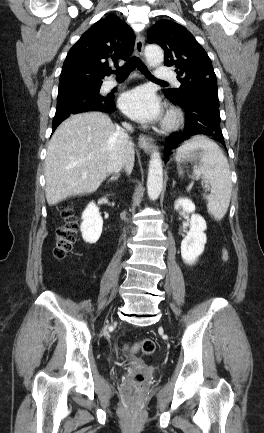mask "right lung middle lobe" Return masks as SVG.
I'll list each match as a JSON object with an SVG mask.
<instances>
[{"label": "right lung middle lobe", "instance_id": "1", "mask_svg": "<svg viewBox=\"0 0 264 433\" xmlns=\"http://www.w3.org/2000/svg\"><path fill=\"white\" fill-rule=\"evenodd\" d=\"M71 87H80V88L96 89L95 87H91V86L83 85V84H74V85L71 86ZM71 87H69V88H71ZM69 88L59 89V92H66Z\"/></svg>", "mask_w": 264, "mask_h": 433}]
</instances>
